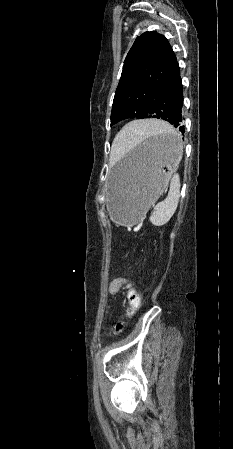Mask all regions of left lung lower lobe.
Listing matches in <instances>:
<instances>
[{
    "mask_svg": "<svg viewBox=\"0 0 233 449\" xmlns=\"http://www.w3.org/2000/svg\"><path fill=\"white\" fill-rule=\"evenodd\" d=\"M182 106L183 89L178 67L154 95L144 118L163 119L184 133Z\"/></svg>",
    "mask_w": 233,
    "mask_h": 449,
    "instance_id": "0a47b994",
    "label": "left lung lower lobe"
}]
</instances>
